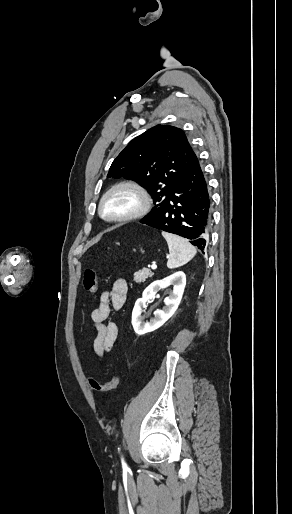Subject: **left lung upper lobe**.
<instances>
[{"instance_id": "1", "label": "left lung upper lobe", "mask_w": 292, "mask_h": 514, "mask_svg": "<svg viewBox=\"0 0 292 514\" xmlns=\"http://www.w3.org/2000/svg\"><path fill=\"white\" fill-rule=\"evenodd\" d=\"M193 149L183 130L157 125L134 138L111 164L107 178L125 177L143 186L154 207L144 218L153 219L160 202L169 196L186 174Z\"/></svg>"}]
</instances>
